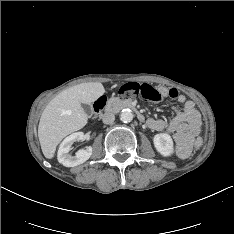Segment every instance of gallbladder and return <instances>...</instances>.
I'll return each mask as SVG.
<instances>
[{"label":"gallbladder","instance_id":"bac80fb5","mask_svg":"<svg viewBox=\"0 0 234 234\" xmlns=\"http://www.w3.org/2000/svg\"><path fill=\"white\" fill-rule=\"evenodd\" d=\"M82 108L86 112V114H91L92 113V107L88 104H82Z\"/></svg>","mask_w":234,"mask_h":234}]
</instances>
